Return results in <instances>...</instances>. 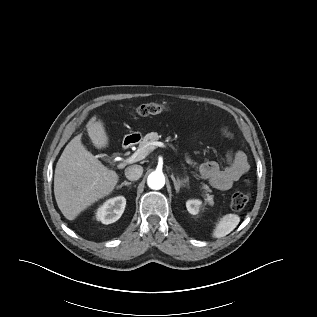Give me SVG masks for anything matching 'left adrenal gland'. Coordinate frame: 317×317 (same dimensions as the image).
<instances>
[{"mask_svg":"<svg viewBox=\"0 0 317 317\" xmlns=\"http://www.w3.org/2000/svg\"><path fill=\"white\" fill-rule=\"evenodd\" d=\"M171 178H172V181H173V183H174V187H175L176 193H179L180 188L185 187V184H184V183L187 182V179L180 180V179L177 177V180H176L173 174L171 175Z\"/></svg>","mask_w":317,"mask_h":317,"instance_id":"1","label":"left adrenal gland"}]
</instances>
